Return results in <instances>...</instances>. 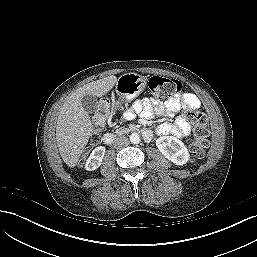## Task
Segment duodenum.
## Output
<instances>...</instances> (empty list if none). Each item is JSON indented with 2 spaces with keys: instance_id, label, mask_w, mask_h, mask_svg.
I'll list each match as a JSON object with an SVG mask.
<instances>
[{
  "instance_id": "obj_1",
  "label": "duodenum",
  "mask_w": 257,
  "mask_h": 257,
  "mask_svg": "<svg viewBox=\"0 0 257 257\" xmlns=\"http://www.w3.org/2000/svg\"><path fill=\"white\" fill-rule=\"evenodd\" d=\"M142 134L147 140H149L151 137V133L148 130H143ZM101 140L104 145H111L114 141V136L112 133L106 132L103 134Z\"/></svg>"
}]
</instances>
